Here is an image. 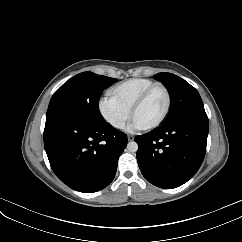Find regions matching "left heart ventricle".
<instances>
[{
	"instance_id": "1",
	"label": "left heart ventricle",
	"mask_w": 242,
	"mask_h": 242,
	"mask_svg": "<svg viewBox=\"0 0 242 242\" xmlns=\"http://www.w3.org/2000/svg\"><path fill=\"white\" fill-rule=\"evenodd\" d=\"M165 94L162 89H155L145 102L136 110L134 119L145 127L156 122L165 108Z\"/></svg>"
}]
</instances>
